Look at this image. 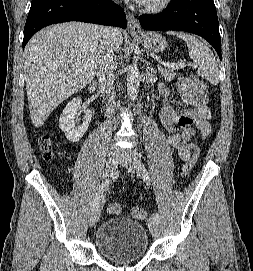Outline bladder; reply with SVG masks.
<instances>
[{
    "instance_id": "obj_1",
    "label": "bladder",
    "mask_w": 253,
    "mask_h": 271,
    "mask_svg": "<svg viewBox=\"0 0 253 271\" xmlns=\"http://www.w3.org/2000/svg\"><path fill=\"white\" fill-rule=\"evenodd\" d=\"M149 238L145 227L129 218L103 222L95 234L97 250L108 260L126 263L140 259L147 252Z\"/></svg>"
}]
</instances>
